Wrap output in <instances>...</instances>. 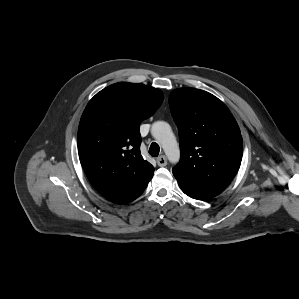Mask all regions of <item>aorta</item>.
Returning a JSON list of instances; mask_svg holds the SVG:
<instances>
[{
	"mask_svg": "<svg viewBox=\"0 0 299 299\" xmlns=\"http://www.w3.org/2000/svg\"><path fill=\"white\" fill-rule=\"evenodd\" d=\"M151 133L162 146L168 160L177 163L180 158V150L171 126L167 122L157 121L153 123Z\"/></svg>",
	"mask_w": 299,
	"mask_h": 299,
	"instance_id": "aorta-1",
	"label": "aorta"
}]
</instances>
